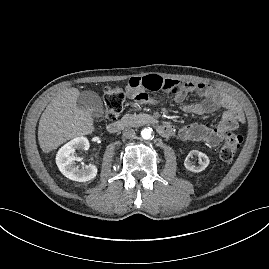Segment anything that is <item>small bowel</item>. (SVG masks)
<instances>
[{
  "label": "small bowel",
  "instance_id": "c3829d8e",
  "mask_svg": "<svg viewBox=\"0 0 269 269\" xmlns=\"http://www.w3.org/2000/svg\"><path fill=\"white\" fill-rule=\"evenodd\" d=\"M148 90L172 93L186 113L204 115L215 112L220 108L224 109L221 120L214 127L193 123L181 128L179 137L183 141L216 146L227 132L236 129L244 122V116L239 105L230 96L207 83L181 82L157 75H149L142 78H131L127 85L129 97L137 103H154V100L147 93ZM190 93H197L203 98V101L185 104V98Z\"/></svg>",
  "mask_w": 269,
  "mask_h": 269
}]
</instances>
